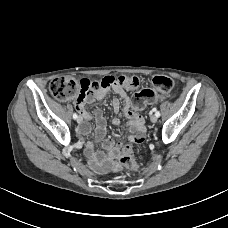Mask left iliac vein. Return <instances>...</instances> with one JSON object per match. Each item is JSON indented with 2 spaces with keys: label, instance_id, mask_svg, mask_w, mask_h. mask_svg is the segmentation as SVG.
Wrapping results in <instances>:
<instances>
[{
  "label": "left iliac vein",
  "instance_id": "1",
  "mask_svg": "<svg viewBox=\"0 0 228 228\" xmlns=\"http://www.w3.org/2000/svg\"><path fill=\"white\" fill-rule=\"evenodd\" d=\"M150 120H151L152 123H156L157 120H158V117L156 115H152Z\"/></svg>",
  "mask_w": 228,
  "mask_h": 228
}]
</instances>
